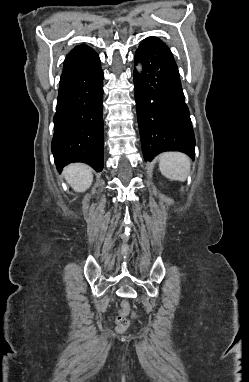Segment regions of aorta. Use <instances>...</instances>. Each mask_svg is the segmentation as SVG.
Returning <instances> with one entry per match:
<instances>
[{
	"label": "aorta",
	"mask_w": 249,
	"mask_h": 382,
	"mask_svg": "<svg viewBox=\"0 0 249 382\" xmlns=\"http://www.w3.org/2000/svg\"><path fill=\"white\" fill-rule=\"evenodd\" d=\"M136 70H137V72L139 73V74H141L142 73V71H143V65H142V63H138L137 64V66H136Z\"/></svg>",
	"instance_id": "1"
}]
</instances>
